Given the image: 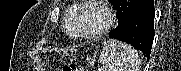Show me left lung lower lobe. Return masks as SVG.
Masks as SVG:
<instances>
[{
  "label": "left lung lower lobe",
  "instance_id": "left-lung-lower-lobe-1",
  "mask_svg": "<svg viewBox=\"0 0 181 71\" xmlns=\"http://www.w3.org/2000/svg\"><path fill=\"white\" fill-rule=\"evenodd\" d=\"M113 8L119 24L109 37L131 44L149 59L154 38V1L117 0Z\"/></svg>",
  "mask_w": 181,
  "mask_h": 71
}]
</instances>
